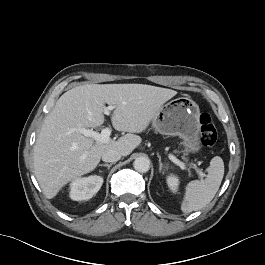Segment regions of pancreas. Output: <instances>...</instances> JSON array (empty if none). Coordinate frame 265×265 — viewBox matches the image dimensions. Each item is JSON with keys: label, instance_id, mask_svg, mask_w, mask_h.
I'll use <instances>...</instances> for the list:
<instances>
[{"label": "pancreas", "instance_id": "cf45deb5", "mask_svg": "<svg viewBox=\"0 0 265 265\" xmlns=\"http://www.w3.org/2000/svg\"><path fill=\"white\" fill-rule=\"evenodd\" d=\"M186 153H184V155H185ZM183 159H186L185 157H183Z\"/></svg>", "mask_w": 265, "mask_h": 265}]
</instances>
